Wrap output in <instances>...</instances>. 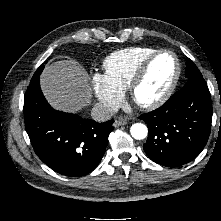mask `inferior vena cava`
I'll list each match as a JSON object with an SVG mask.
<instances>
[{"label":"inferior vena cava","mask_w":221,"mask_h":221,"mask_svg":"<svg viewBox=\"0 0 221 221\" xmlns=\"http://www.w3.org/2000/svg\"><path fill=\"white\" fill-rule=\"evenodd\" d=\"M114 115V111L111 107L97 103L91 110V117L97 122L108 121Z\"/></svg>","instance_id":"obj_1"}]
</instances>
